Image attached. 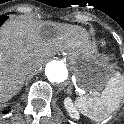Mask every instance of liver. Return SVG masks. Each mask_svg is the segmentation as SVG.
Listing matches in <instances>:
<instances>
[{
	"label": "liver",
	"mask_w": 124,
	"mask_h": 124,
	"mask_svg": "<svg viewBox=\"0 0 124 124\" xmlns=\"http://www.w3.org/2000/svg\"><path fill=\"white\" fill-rule=\"evenodd\" d=\"M43 22L20 19L11 21L0 31V103L10 100L19 92L25 76L30 72L28 64L39 67L56 49L69 50L89 64L88 38L83 28L63 25L48 38L40 37Z\"/></svg>",
	"instance_id": "1"
}]
</instances>
